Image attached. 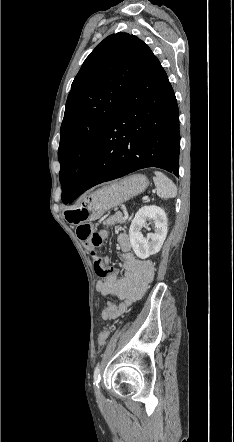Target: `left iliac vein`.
<instances>
[{
  "instance_id": "obj_1",
  "label": "left iliac vein",
  "mask_w": 234,
  "mask_h": 442,
  "mask_svg": "<svg viewBox=\"0 0 234 442\" xmlns=\"http://www.w3.org/2000/svg\"><path fill=\"white\" fill-rule=\"evenodd\" d=\"M98 394H99V398H100L101 396H100V393H99V391H98Z\"/></svg>"
}]
</instances>
